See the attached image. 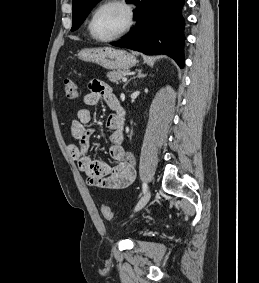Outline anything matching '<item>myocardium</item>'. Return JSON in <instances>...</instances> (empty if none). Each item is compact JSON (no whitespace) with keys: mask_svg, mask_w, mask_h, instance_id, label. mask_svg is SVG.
<instances>
[{"mask_svg":"<svg viewBox=\"0 0 259 283\" xmlns=\"http://www.w3.org/2000/svg\"><path fill=\"white\" fill-rule=\"evenodd\" d=\"M109 5H119L121 6L127 15V22L126 25L124 26V28L118 32L117 34H115L114 36H111L109 38H99L97 37L94 32H93V22L94 19L97 15V13L103 9L106 6ZM134 20H135V13H134V9L132 7V5L127 1V0H104L102 3H100L92 12L89 22H88V31L90 36L98 42H111L114 41L116 39H119L120 37L124 36L125 34H127L130 29L132 28L133 24H134Z\"/></svg>","mask_w":259,"mask_h":283,"instance_id":"obj_1","label":"myocardium"}]
</instances>
